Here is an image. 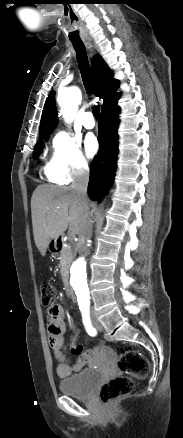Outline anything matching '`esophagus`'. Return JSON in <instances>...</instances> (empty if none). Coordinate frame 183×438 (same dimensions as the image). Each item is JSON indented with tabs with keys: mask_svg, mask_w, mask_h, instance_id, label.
<instances>
[{
	"mask_svg": "<svg viewBox=\"0 0 183 438\" xmlns=\"http://www.w3.org/2000/svg\"><path fill=\"white\" fill-rule=\"evenodd\" d=\"M87 46H88V48L92 51V49H91V44L88 43Z\"/></svg>",
	"mask_w": 183,
	"mask_h": 438,
	"instance_id": "esophagus-1",
	"label": "esophagus"
}]
</instances>
